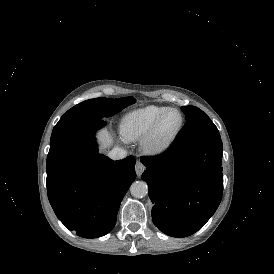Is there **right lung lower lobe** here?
Masks as SVG:
<instances>
[{
	"label": "right lung lower lobe",
	"mask_w": 274,
	"mask_h": 274,
	"mask_svg": "<svg viewBox=\"0 0 274 274\" xmlns=\"http://www.w3.org/2000/svg\"><path fill=\"white\" fill-rule=\"evenodd\" d=\"M93 120L50 146L47 192L59 220L84 238L101 237L116 223L120 203L136 177L135 158L112 161L99 154Z\"/></svg>",
	"instance_id": "right-lung-lower-lobe-1"
}]
</instances>
